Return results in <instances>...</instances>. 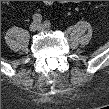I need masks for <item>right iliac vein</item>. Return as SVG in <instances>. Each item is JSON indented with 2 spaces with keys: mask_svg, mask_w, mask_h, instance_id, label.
<instances>
[{
  "mask_svg": "<svg viewBox=\"0 0 109 109\" xmlns=\"http://www.w3.org/2000/svg\"><path fill=\"white\" fill-rule=\"evenodd\" d=\"M39 29V25L37 24V23H32L31 25H30V30L31 31H36V30H38Z\"/></svg>",
  "mask_w": 109,
  "mask_h": 109,
  "instance_id": "1",
  "label": "right iliac vein"
}]
</instances>
